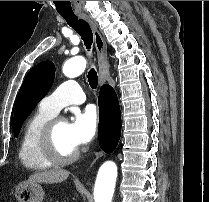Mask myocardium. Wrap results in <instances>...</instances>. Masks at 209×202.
Here are the masks:
<instances>
[{"mask_svg":"<svg viewBox=\"0 0 209 202\" xmlns=\"http://www.w3.org/2000/svg\"><path fill=\"white\" fill-rule=\"evenodd\" d=\"M63 121L61 117L50 119L41 131L39 147L45 157L55 164H68L74 162L80 155L79 149L68 155L61 153L55 143V130L57 125Z\"/></svg>","mask_w":209,"mask_h":202,"instance_id":"obj_1","label":"myocardium"}]
</instances>
